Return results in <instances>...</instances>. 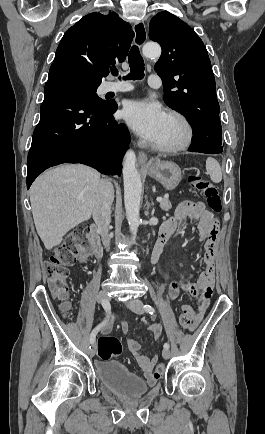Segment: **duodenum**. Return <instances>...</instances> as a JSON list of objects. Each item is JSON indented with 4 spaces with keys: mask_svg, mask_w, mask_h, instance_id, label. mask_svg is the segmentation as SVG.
<instances>
[{
    "mask_svg": "<svg viewBox=\"0 0 265 434\" xmlns=\"http://www.w3.org/2000/svg\"><path fill=\"white\" fill-rule=\"evenodd\" d=\"M89 230H91L92 235H95L96 230H99V229H98V227L96 225H93V226L90 227ZM95 242H96V245H97V248H96L97 257L96 258H98L101 255V249H102L101 248L100 239H97ZM164 246H165V243L163 241L157 242L156 245L154 246V248L152 250V253H151V257H150L151 261L153 263H156L159 260L161 254H162V252L164 250Z\"/></svg>",
    "mask_w": 265,
    "mask_h": 434,
    "instance_id": "obj_1",
    "label": "duodenum"
}]
</instances>
